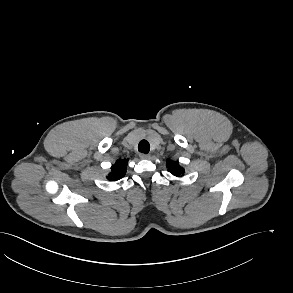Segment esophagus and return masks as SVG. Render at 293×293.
Returning a JSON list of instances; mask_svg holds the SVG:
<instances>
[{
    "label": "esophagus",
    "instance_id": "obj_1",
    "mask_svg": "<svg viewBox=\"0 0 293 293\" xmlns=\"http://www.w3.org/2000/svg\"><path fill=\"white\" fill-rule=\"evenodd\" d=\"M139 157H140L141 159H149V158H150V155H149V154L140 153V154H139Z\"/></svg>",
    "mask_w": 293,
    "mask_h": 293
}]
</instances>
